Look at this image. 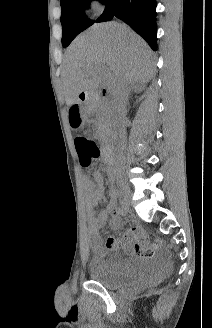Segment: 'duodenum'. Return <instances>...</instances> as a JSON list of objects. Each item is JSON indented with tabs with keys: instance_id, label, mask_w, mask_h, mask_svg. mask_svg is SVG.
<instances>
[{
	"instance_id": "obj_1",
	"label": "duodenum",
	"mask_w": 212,
	"mask_h": 328,
	"mask_svg": "<svg viewBox=\"0 0 212 328\" xmlns=\"http://www.w3.org/2000/svg\"><path fill=\"white\" fill-rule=\"evenodd\" d=\"M113 94L107 87H103L99 93L100 98H111ZM94 95L90 93H85L84 95L79 97L80 104H87L88 102L94 100ZM102 155L105 158V160L108 162V171L111 173L113 171L112 161H111V155H112V146L106 145L104 146L102 150Z\"/></svg>"
}]
</instances>
